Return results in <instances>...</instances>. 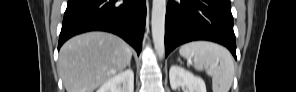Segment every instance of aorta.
Returning <instances> with one entry per match:
<instances>
[{"instance_id":"aorta-1","label":"aorta","mask_w":296,"mask_h":92,"mask_svg":"<svg viewBox=\"0 0 296 92\" xmlns=\"http://www.w3.org/2000/svg\"><path fill=\"white\" fill-rule=\"evenodd\" d=\"M165 14L166 0H153L151 28L155 51L160 59L165 53L164 35H165Z\"/></svg>"}]
</instances>
